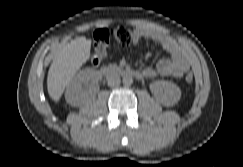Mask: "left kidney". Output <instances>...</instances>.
I'll return each instance as SVG.
<instances>
[{
	"instance_id": "1",
	"label": "left kidney",
	"mask_w": 243,
	"mask_h": 167,
	"mask_svg": "<svg viewBox=\"0 0 243 167\" xmlns=\"http://www.w3.org/2000/svg\"><path fill=\"white\" fill-rule=\"evenodd\" d=\"M150 90L154 98L164 106L175 105L181 97L180 88L169 81H155L150 84Z\"/></svg>"
}]
</instances>
